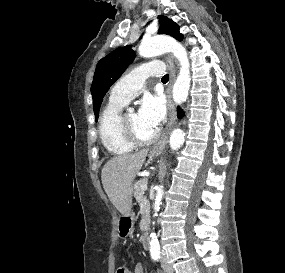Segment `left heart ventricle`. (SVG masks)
I'll list each match as a JSON object with an SVG mask.
<instances>
[{
  "instance_id": "b2bd125f",
  "label": "left heart ventricle",
  "mask_w": 285,
  "mask_h": 273,
  "mask_svg": "<svg viewBox=\"0 0 285 273\" xmlns=\"http://www.w3.org/2000/svg\"><path fill=\"white\" fill-rule=\"evenodd\" d=\"M125 118L128 124L134 128L139 137L143 139H148L152 137L157 131L156 128L143 123L139 119L138 113L136 112L127 113L125 115Z\"/></svg>"
}]
</instances>
